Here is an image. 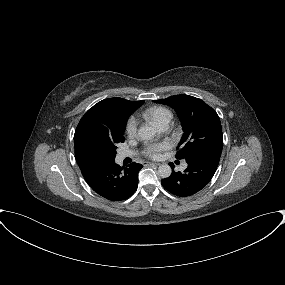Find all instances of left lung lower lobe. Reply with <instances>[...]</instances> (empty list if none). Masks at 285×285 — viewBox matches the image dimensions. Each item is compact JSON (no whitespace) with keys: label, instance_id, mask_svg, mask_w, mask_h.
Masks as SVG:
<instances>
[{"label":"left lung lower lobe","instance_id":"0a47b994","mask_svg":"<svg viewBox=\"0 0 285 285\" xmlns=\"http://www.w3.org/2000/svg\"><path fill=\"white\" fill-rule=\"evenodd\" d=\"M221 152L207 151L186 159L188 167L183 173L172 171L170 177L161 180L170 193L187 197L203 189L212 179L219 164ZM173 169V164H169Z\"/></svg>","mask_w":285,"mask_h":285}]
</instances>
